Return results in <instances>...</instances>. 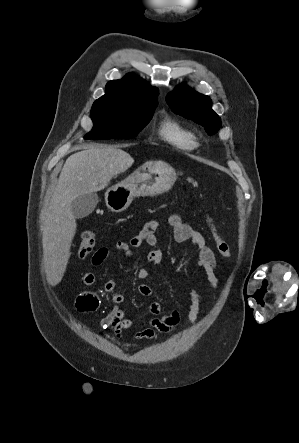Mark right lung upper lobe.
Here are the masks:
<instances>
[{
    "label": "right lung upper lobe",
    "instance_id": "obj_1",
    "mask_svg": "<svg viewBox=\"0 0 299 443\" xmlns=\"http://www.w3.org/2000/svg\"><path fill=\"white\" fill-rule=\"evenodd\" d=\"M157 89L143 79L129 74L121 80L109 81L105 95L96 101H117L131 105H157Z\"/></svg>",
    "mask_w": 299,
    "mask_h": 443
}]
</instances>
